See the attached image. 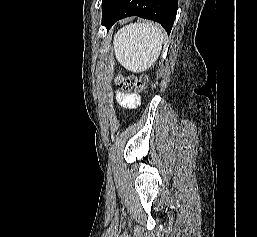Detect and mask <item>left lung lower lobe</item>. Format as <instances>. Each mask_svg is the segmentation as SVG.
<instances>
[{
    "instance_id": "obj_1",
    "label": "left lung lower lobe",
    "mask_w": 257,
    "mask_h": 237,
    "mask_svg": "<svg viewBox=\"0 0 257 237\" xmlns=\"http://www.w3.org/2000/svg\"><path fill=\"white\" fill-rule=\"evenodd\" d=\"M177 8L178 0H109L102 8V25L108 31L119 19L139 16L159 22L169 34Z\"/></svg>"
}]
</instances>
